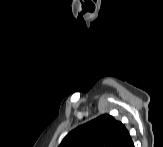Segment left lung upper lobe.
<instances>
[{
    "instance_id": "left-lung-upper-lobe-1",
    "label": "left lung upper lobe",
    "mask_w": 163,
    "mask_h": 147,
    "mask_svg": "<svg viewBox=\"0 0 163 147\" xmlns=\"http://www.w3.org/2000/svg\"><path fill=\"white\" fill-rule=\"evenodd\" d=\"M125 131L120 121L104 114L72 130L59 147H115Z\"/></svg>"
}]
</instances>
